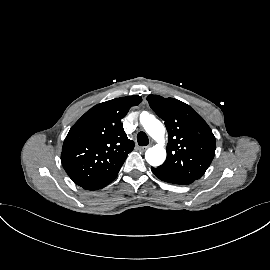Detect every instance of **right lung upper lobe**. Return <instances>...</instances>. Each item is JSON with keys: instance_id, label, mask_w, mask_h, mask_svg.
Segmentation results:
<instances>
[{"instance_id": "cb5924a9", "label": "right lung upper lobe", "mask_w": 270, "mask_h": 270, "mask_svg": "<svg viewBox=\"0 0 270 270\" xmlns=\"http://www.w3.org/2000/svg\"><path fill=\"white\" fill-rule=\"evenodd\" d=\"M141 101L134 95L100 103L73 125L63 143L61 162L75 184L84 186L118 174L134 148L121 119Z\"/></svg>"}]
</instances>
